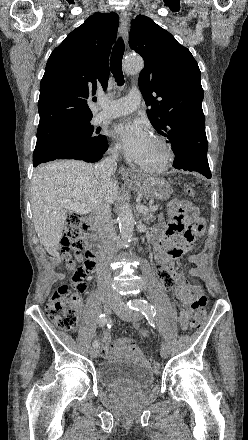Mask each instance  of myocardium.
Here are the masks:
<instances>
[{"instance_id":"f54148a6","label":"myocardium","mask_w":248,"mask_h":440,"mask_svg":"<svg viewBox=\"0 0 248 440\" xmlns=\"http://www.w3.org/2000/svg\"><path fill=\"white\" fill-rule=\"evenodd\" d=\"M152 140L157 144V146L161 150L160 160L153 165H145L138 162L137 168L142 172L154 174V173L163 172L169 167L173 157V152L171 146L164 138L160 136H154Z\"/></svg>"}]
</instances>
